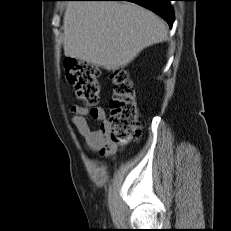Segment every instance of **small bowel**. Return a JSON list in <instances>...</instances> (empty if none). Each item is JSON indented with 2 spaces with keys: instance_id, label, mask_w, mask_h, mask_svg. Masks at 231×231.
Instances as JSON below:
<instances>
[{
  "instance_id": "1",
  "label": "small bowel",
  "mask_w": 231,
  "mask_h": 231,
  "mask_svg": "<svg viewBox=\"0 0 231 231\" xmlns=\"http://www.w3.org/2000/svg\"><path fill=\"white\" fill-rule=\"evenodd\" d=\"M71 110L72 122L86 147L102 156H113L116 147L109 137L110 122L106 118L105 111L100 107L89 109L79 105L73 106ZM90 120L98 121L99 127L92 129Z\"/></svg>"
}]
</instances>
